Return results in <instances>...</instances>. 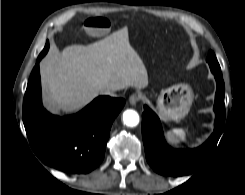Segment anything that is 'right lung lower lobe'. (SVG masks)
I'll return each instance as SVG.
<instances>
[{
	"label": "right lung lower lobe",
	"mask_w": 245,
	"mask_h": 195,
	"mask_svg": "<svg viewBox=\"0 0 245 195\" xmlns=\"http://www.w3.org/2000/svg\"><path fill=\"white\" fill-rule=\"evenodd\" d=\"M45 48L49 49L48 41ZM43 57L42 51L23 100V122L30 145L44 164L69 174H86L103 160L111 125L125 100L99 96L75 115L50 114L41 102L39 61Z\"/></svg>",
	"instance_id": "right-lung-lower-lobe-1"
}]
</instances>
